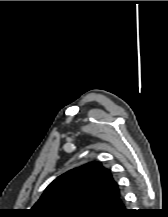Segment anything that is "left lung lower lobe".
Returning <instances> with one entry per match:
<instances>
[{
    "label": "left lung lower lobe",
    "mask_w": 168,
    "mask_h": 217,
    "mask_svg": "<svg viewBox=\"0 0 168 217\" xmlns=\"http://www.w3.org/2000/svg\"><path fill=\"white\" fill-rule=\"evenodd\" d=\"M128 214H130L129 210L125 208L124 198L120 194L109 204L108 209L99 217H128Z\"/></svg>",
    "instance_id": "1"
}]
</instances>
